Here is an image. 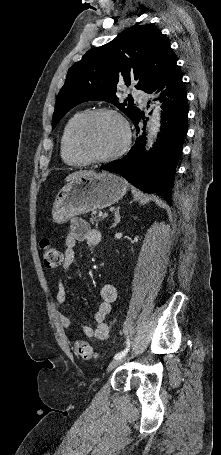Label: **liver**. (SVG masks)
Instances as JSON below:
<instances>
[{"label": "liver", "instance_id": "liver-1", "mask_svg": "<svg viewBox=\"0 0 221 455\" xmlns=\"http://www.w3.org/2000/svg\"><path fill=\"white\" fill-rule=\"evenodd\" d=\"M92 175H96V173L94 171L80 170V171H77V172H74V173L68 175L66 177L65 181L69 182L74 179H78L80 177H87V176H92Z\"/></svg>", "mask_w": 221, "mask_h": 455}]
</instances>
